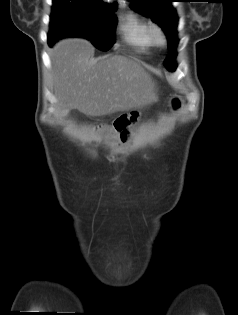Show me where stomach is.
I'll list each match as a JSON object with an SVG mask.
<instances>
[{
    "label": "stomach",
    "mask_w": 238,
    "mask_h": 315,
    "mask_svg": "<svg viewBox=\"0 0 238 315\" xmlns=\"http://www.w3.org/2000/svg\"><path fill=\"white\" fill-rule=\"evenodd\" d=\"M182 105V95L181 94H172L167 102V109L169 112H178Z\"/></svg>",
    "instance_id": "0dacf381"
}]
</instances>
